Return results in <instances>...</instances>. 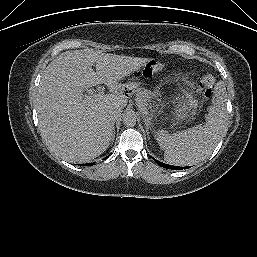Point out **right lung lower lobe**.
Here are the masks:
<instances>
[{
  "mask_svg": "<svg viewBox=\"0 0 257 257\" xmlns=\"http://www.w3.org/2000/svg\"><path fill=\"white\" fill-rule=\"evenodd\" d=\"M94 163H90V164H88V165H93Z\"/></svg>",
  "mask_w": 257,
  "mask_h": 257,
  "instance_id": "98d812e1",
  "label": "right lung lower lobe"
}]
</instances>
